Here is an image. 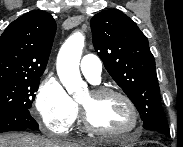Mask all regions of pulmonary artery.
I'll use <instances>...</instances> for the list:
<instances>
[{
  "instance_id": "1",
  "label": "pulmonary artery",
  "mask_w": 183,
  "mask_h": 147,
  "mask_svg": "<svg viewBox=\"0 0 183 147\" xmlns=\"http://www.w3.org/2000/svg\"><path fill=\"white\" fill-rule=\"evenodd\" d=\"M82 74L92 84H98L101 79L102 63L101 60L94 54L85 55L80 62Z\"/></svg>"
}]
</instances>
